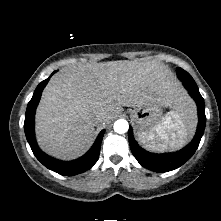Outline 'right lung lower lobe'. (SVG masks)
Masks as SVG:
<instances>
[{
    "label": "right lung lower lobe",
    "instance_id": "98d812e1",
    "mask_svg": "<svg viewBox=\"0 0 221 221\" xmlns=\"http://www.w3.org/2000/svg\"><path fill=\"white\" fill-rule=\"evenodd\" d=\"M49 78L42 81L36 88L32 99L28 103L26 114H25V122H24V131L27 138V141L36 156V158L48 169L65 176H73L76 174L83 173L90 169L98 160L100 153L101 141L104 135V130L100 132L98 135L94 145L92 148L81 158L70 161L63 162L56 160L44 152L40 150L38 147L35 135H34V116L36 107L39 103L42 91L46 86Z\"/></svg>",
    "mask_w": 221,
    "mask_h": 221
}]
</instances>
